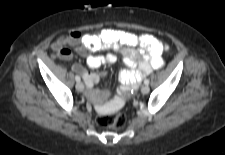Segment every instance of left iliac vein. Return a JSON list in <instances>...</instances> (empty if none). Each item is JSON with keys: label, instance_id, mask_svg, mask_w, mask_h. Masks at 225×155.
Listing matches in <instances>:
<instances>
[{"label": "left iliac vein", "instance_id": "left-iliac-vein-1", "mask_svg": "<svg viewBox=\"0 0 225 155\" xmlns=\"http://www.w3.org/2000/svg\"><path fill=\"white\" fill-rule=\"evenodd\" d=\"M149 91H150V88H149L148 85L142 86L141 92H142L143 94H147V93H149Z\"/></svg>", "mask_w": 225, "mask_h": 155}]
</instances>
